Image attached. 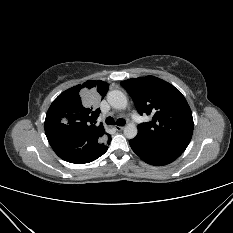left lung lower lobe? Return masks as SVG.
I'll use <instances>...</instances> for the list:
<instances>
[{"mask_svg": "<svg viewBox=\"0 0 233 233\" xmlns=\"http://www.w3.org/2000/svg\"><path fill=\"white\" fill-rule=\"evenodd\" d=\"M129 144L132 150L146 163L162 166L176 160L182 153L165 150L152 146L138 137L131 139Z\"/></svg>", "mask_w": 233, "mask_h": 233, "instance_id": "0a47b994", "label": "left lung lower lobe"}]
</instances>
